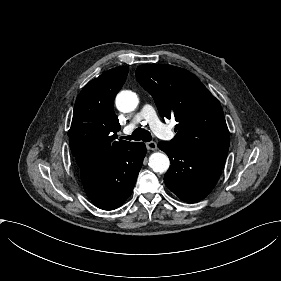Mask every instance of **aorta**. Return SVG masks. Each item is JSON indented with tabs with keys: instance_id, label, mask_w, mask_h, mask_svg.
Returning <instances> with one entry per match:
<instances>
[{
	"instance_id": "obj_1",
	"label": "aorta",
	"mask_w": 281,
	"mask_h": 281,
	"mask_svg": "<svg viewBox=\"0 0 281 281\" xmlns=\"http://www.w3.org/2000/svg\"><path fill=\"white\" fill-rule=\"evenodd\" d=\"M115 103L119 111L128 113L136 109L139 99L134 92L125 90L117 94ZM149 166L155 172L163 173L168 170L170 161L166 154L162 152H155L149 157Z\"/></svg>"
}]
</instances>
